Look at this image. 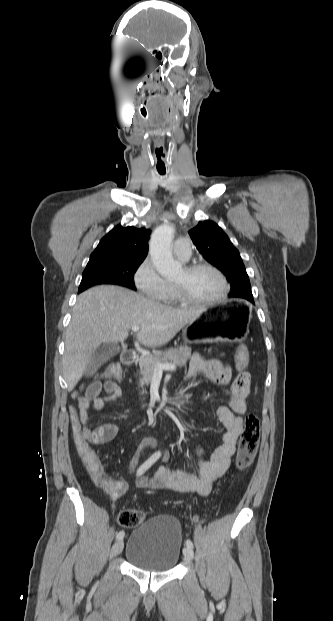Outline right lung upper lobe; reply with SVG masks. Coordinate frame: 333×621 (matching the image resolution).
Segmentation results:
<instances>
[{
    "instance_id": "right-lung-upper-lobe-1",
    "label": "right lung upper lobe",
    "mask_w": 333,
    "mask_h": 621,
    "mask_svg": "<svg viewBox=\"0 0 333 621\" xmlns=\"http://www.w3.org/2000/svg\"><path fill=\"white\" fill-rule=\"evenodd\" d=\"M150 234L149 229L117 225L101 239L89 261H143L148 253L147 241Z\"/></svg>"
}]
</instances>
